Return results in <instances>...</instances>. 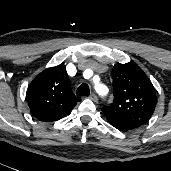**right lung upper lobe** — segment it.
Here are the masks:
<instances>
[{
    "instance_id": "cb5924a9",
    "label": "right lung upper lobe",
    "mask_w": 171,
    "mask_h": 171,
    "mask_svg": "<svg viewBox=\"0 0 171 171\" xmlns=\"http://www.w3.org/2000/svg\"><path fill=\"white\" fill-rule=\"evenodd\" d=\"M71 90L66 66L46 69L31 82L27 102L32 115L42 122H52L66 116L80 101Z\"/></svg>"
}]
</instances>
